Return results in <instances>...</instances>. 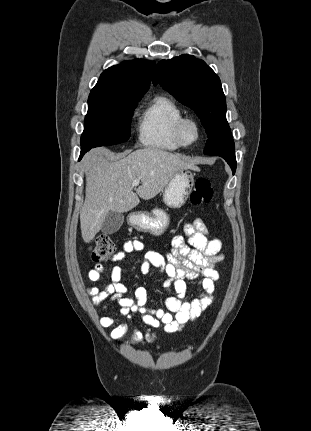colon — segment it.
Segmentation results:
<instances>
[{
  "label": "colon",
  "instance_id": "obj_1",
  "mask_svg": "<svg viewBox=\"0 0 311 431\" xmlns=\"http://www.w3.org/2000/svg\"><path fill=\"white\" fill-rule=\"evenodd\" d=\"M213 188L210 181L205 177H199L195 180L191 192V203L195 206L207 204L212 200ZM115 252V243L107 235L98 237L96 246L92 252V259L96 262L106 261L112 257Z\"/></svg>",
  "mask_w": 311,
  "mask_h": 431
}]
</instances>
